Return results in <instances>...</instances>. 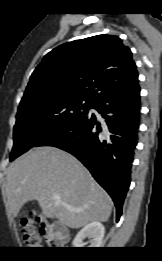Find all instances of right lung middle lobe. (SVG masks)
<instances>
[{
  "mask_svg": "<svg viewBox=\"0 0 162 261\" xmlns=\"http://www.w3.org/2000/svg\"><path fill=\"white\" fill-rule=\"evenodd\" d=\"M94 101L80 96L54 95L21 101L13 129L10 161L34 147L45 136L88 114Z\"/></svg>",
  "mask_w": 162,
  "mask_h": 261,
  "instance_id": "right-lung-middle-lobe-1",
  "label": "right lung middle lobe"
}]
</instances>
